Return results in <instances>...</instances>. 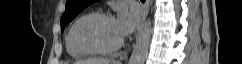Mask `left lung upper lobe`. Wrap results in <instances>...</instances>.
<instances>
[{
    "label": "left lung upper lobe",
    "mask_w": 242,
    "mask_h": 64,
    "mask_svg": "<svg viewBox=\"0 0 242 64\" xmlns=\"http://www.w3.org/2000/svg\"><path fill=\"white\" fill-rule=\"evenodd\" d=\"M97 0H68L66 10L62 15L61 31L72 21L85 7L96 2Z\"/></svg>",
    "instance_id": "left-lung-upper-lobe-1"
}]
</instances>
